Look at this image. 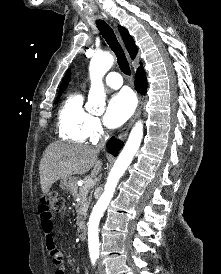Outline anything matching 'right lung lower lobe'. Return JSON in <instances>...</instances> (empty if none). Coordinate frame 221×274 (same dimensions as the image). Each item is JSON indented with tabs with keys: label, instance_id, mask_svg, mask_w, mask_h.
<instances>
[{
	"label": "right lung lower lobe",
	"instance_id": "1",
	"mask_svg": "<svg viewBox=\"0 0 221 274\" xmlns=\"http://www.w3.org/2000/svg\"><path fill=\"white\" fill-rule=\"evenodd\" d=\"M135 89L141 93V94H145L146 90H147V80H146V75L145 72L142 68H139L137 70V73L135 75ZM123 145V142L117 139H110L107 143V149L109 150V152L114 155L117 156L118 152L120 151L121 147Z\"/></svg>",
	"mask_w": 221,
	"mask_h": 274
}]
</instances>
